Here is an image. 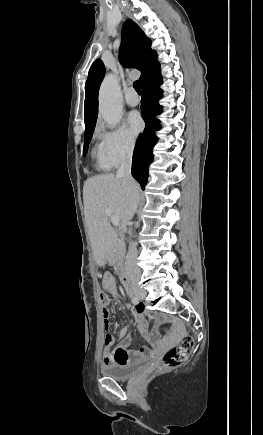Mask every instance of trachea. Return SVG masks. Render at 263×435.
Segmentation results:
<instances>
[{
  "mask_svg": "<svg viewBox=\"0 0 263 435\" xmlns=\"http://www.w3.org/2000/svg\"><path fill=\"white\" fill-rule=\"evenodd\" d=\"M133 87L138 94H141V87H140V83L138 80L134 81Z\"/></svg>",
  "mask_w": 263,
  "mask_h": 435,
  "instance_id": "obj_1",
  "label": "trachea"
}]
</instances>
